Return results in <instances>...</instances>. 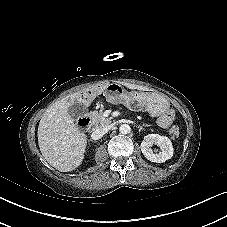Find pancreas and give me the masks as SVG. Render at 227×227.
I'll return each instance as SVG.
<instances>
[{
	"label": "pancreas",
	"instance_id": "pancreas-1",
	"mask_svg": "<svg viewBox=\"0 0 227 227\" xmlns=\"http://www.w3.org/2000/svg\"><path fill=\"white\" fill-rule=\"evenodd\" d=\"M91 116L95 125L98 127H104L111 123V121L103 115L102 110L91 112ZM168 132L172 139H175V137H178L179 135L178 127L176 126H172Z\"/></svg>",
	"mask_w": 227,
	"mask_h": 227
}]
</instances>
